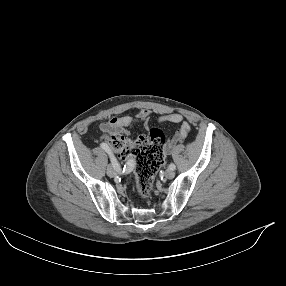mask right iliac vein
Returning <instances> with one entry per match:
<instances>
[{
  "mask_svg": "<svg viewBox=\"0 0 286 286\" xmlns=\"http://www.w3.org/2000/svg\"><path fill=\"white\" fill-rule=\"evenodd\" d=\"M116 172L117 171H116V169L113 166L109 165L107 167V174H108V176L113 177V176L116 175Z\"/></svg>",
  "mask_w": 286,
  "mask_h": 286,
  "instance_id": "obj_1",
  "label": "right iliac vein"
}]
</instances>
